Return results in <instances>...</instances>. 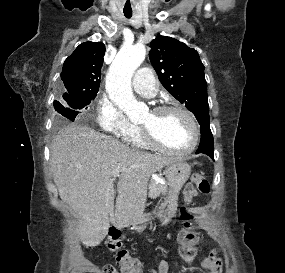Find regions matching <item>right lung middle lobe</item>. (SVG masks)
<instances>
[{
    "label": "right lung middle lobe",
    "instance_id": "dd1d6c3e",
    "mask_svg": "<svg viewBox=\"0 0 285 273\" xmlns=\"http://www.w3.org/2000/svg\"><path fill=\"white\" fill-rule=\"evenodd\" d=\"M96 94L89 96H77V97H64V101L61 103L58 101L54 102V107L59 113L58 119L63 120L64 117L74 121L81 109H87L88 105L94 100Z\"/></svg>",
    "mask_w": 285,
    "mask_h": 273
}]
</instances>
